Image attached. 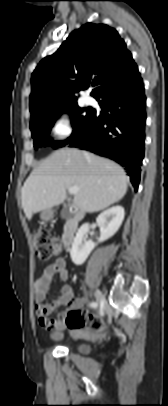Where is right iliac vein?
I'll use <instances>...</instances> for the list:
<instances>
[{
    "instance_id": "1",
    "label": "right iliac vein",
    "mask_w": 168,
    "mask_h": 406,
    "mask_svg": "<svg viewBox=\"0 0 168 406\" xmlns=\"http://www.w3.org/2000/svg\"><path fill=\"white\" fill-rule=\"evenodd\" d=\"M95 299H96L97 303H100L102 301V299H103V294L98 289L95 291Z\"/></svg>"
}]
</instances>
